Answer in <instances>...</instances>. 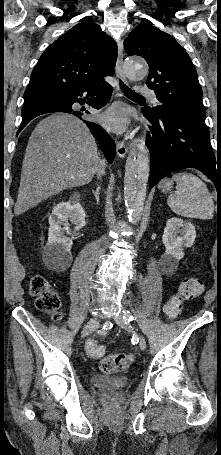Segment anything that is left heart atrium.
<instances>
[{"label": "left heart atrium", "instance_id": "obj_1", "mask_svg": "<svg viewBox=\"0 0 221 455\" xmlns=\"http://www.w3.org/2000/svg\"><path fill=\"white\" fill-rule=\"evenodd\" d=\"M100 120L109 130L114 132H122L128 125L126 109L120 105L108 109Z\"/></svg>", "mask_w": 221, "mask_h": 455}]
</instances>
